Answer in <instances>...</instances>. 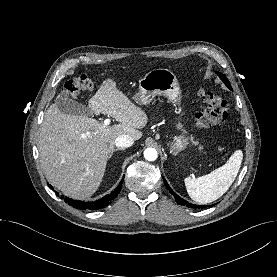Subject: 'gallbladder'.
Returning a JSON list of instances; mask_svg holds the SVG:
<instances>
[{
    "instance_id": "bac80fb5",
    "label": "gallbladder",
    "mask_w": 277,
    "mask_h": 277,
    "mask_svg": "<svg viewBox=\"0 0 277 277\" xmlns=\"http://www.w3.org/2000/svg\"><path fill=\"white\" fill-rule=\"evenodd\" d=\"M55 104L65 114L77 116H91L92 111L85 105L69 97L68 91L63 90L56 98Z\"/></svg>"
}]
</instances>
